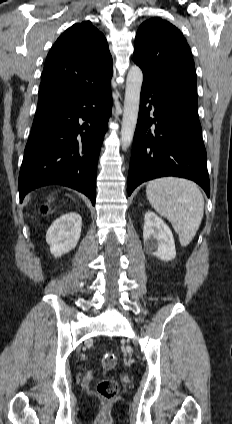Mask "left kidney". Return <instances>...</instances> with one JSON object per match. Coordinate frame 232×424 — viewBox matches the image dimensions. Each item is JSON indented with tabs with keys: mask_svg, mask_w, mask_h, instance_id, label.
<instances>
[{
	"mask_svg": "<svg viewBox=\"0 0 232 424\" xmlns=\"http://www.w3.org/2000/svg\"><path fill=\"white\" fill-rule=\"evenodd\" d=\"M143 239L145 249L159 259L170 261L176 257L174 238L170 228L152 211L145 214Z\"/></svg>",
	"mask_w": 232,
	"mask_h": 424,
	"instance_id": "1",
	"label": "left kidney"
}]
</instances>
